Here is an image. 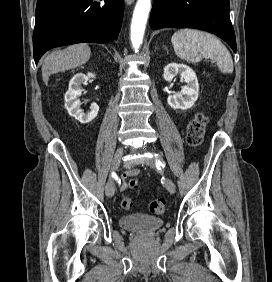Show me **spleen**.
I'll return each instance as SVG.
<instances>
[{
	"mask_svg": "<svg viewBox=\"0 0 272 282\" xmlns=\"http://www.w3.org/2000/svg\"><path fill=\"white\" fill-rule=\"evenodd\" d=\"M178 57L197 63L202 58L217 62L222 73L233 72V60L227 48L215 36L194 29H180L171 38Z\"/></svg>",
	"mask_w": 272,
	"mask_h": 282,
	"instance_id": "obj_1",
	"label": "spleen"
}]
</instances>
